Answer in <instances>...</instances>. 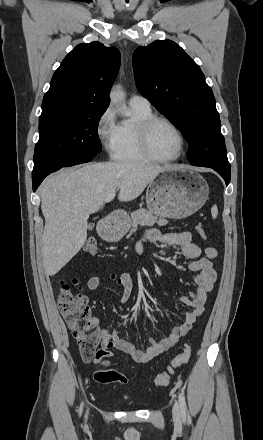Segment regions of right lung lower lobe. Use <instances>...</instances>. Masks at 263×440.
I'll list each match as a JSON object with an SVG mask.
<instances>
[{
    "mask_svg": "<svg viewBox=\"0 0 263 440\" xmlns=\"http://www.w3.org/2000/svg\"><path fill=\"white\" fill-rule=\"evenodd\" d=\"M96 155H97V154H86L85 159L83 160V163L91 161ZM59 169H60V168L56 169L55 171H57V170H59ZM46 176H47V175L42 176V177H40V178H38V179H34V180H32V183H33V191H36V189L38 188V186L41 184V182L43 181V179H44Z\"/></svg>",
    "mask_w": 263,
    "mask_h": 440,
    "instance_id": "right-lung-lower-lobe-1",
    "label": "right lung lower lobe"
}]
</instances>
